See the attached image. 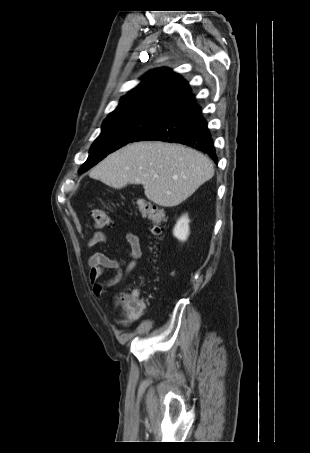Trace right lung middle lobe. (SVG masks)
<instances>
[{
	"instance_id": "obj_1",
	"label": "right lung middle lobe",
	"mask_w": 310,
	"mask_h": 453,
	"mask_svg": "<svg viewBox=\"0 0 310 453\" xmlns=\"http://www.w3.org/2000/svg\"><path fill=\"white\" fill-rule=\"evenodd\" d=\"M158 116L150 115H118L107 117L102 124V132L90 148L87 161L79 169L83 173L96 165L109 153L119 149L137 137Z\"/></svg>"
}]
</instances>
